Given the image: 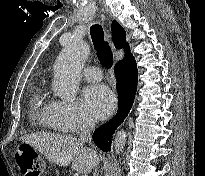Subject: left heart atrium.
<instances>
[{"mask_svg": "<svg viewBox=\"0 0 205 176\" xmlns=\"http://www.w3.org/2000/svg\"><path fill=\"white\" fill-rule=\"evenodd\" d=\"M82 100L86 110L99 119L108 117L116 106L113 91L102 84L87 86L83 90Z\"/></svg>", "mask_w": 205, "mask_h": 176, "instance_id": "obj_1", "label": "left heart atrium"}]
</instances>
